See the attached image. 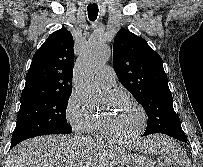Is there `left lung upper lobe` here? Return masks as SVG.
Segmentation results:
<instances>
[{"instance_id":"5c2ea615","label":"left lung upper lobe","mask_w":203,"mask_h":167,"mask_svg":"<svg viewBox=\"0 0 203 167\" xmlns=\"http://www.w3.org/2000/svg\"><path fill=\"white\" fill-rule=\"evenodd\" d=\"M113 67L122 85L143 106L148 116L144 135L185 136L173 108L162 58L145 39L120 29L113 44Z\"/></svg>"}]
</instances>
